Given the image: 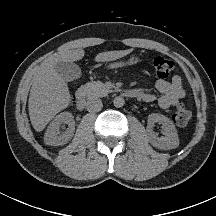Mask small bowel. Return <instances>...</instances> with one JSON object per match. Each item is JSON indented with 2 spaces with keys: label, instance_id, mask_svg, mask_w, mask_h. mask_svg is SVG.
I'll use <instances>...</instances> for the list:
<instances>
[{
  "label": "small bowel",
  "instance_id": "c3829d8e",
  "mask_svg": "<svg viewBox=\"0 0 216 216\" xmlns=\"http://www.w3.org/2000/svg\"><path fill=\"white\" fill-rule=\"evenodd\" d=\"M156 89L161 94L158 103L163 109L174 106L179 100L185 97V91L182 87V79L175 75L171 80L160 79L156 82ZM142 100L151 102L155 100V95L147 92H140Z\"/></svg>",
  "mask_w": 216,
  "mask_h": 216
}]
</instances>
